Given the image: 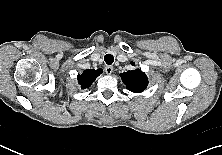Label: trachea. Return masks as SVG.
<instances>
[{"label":"trachea","mask_w":222,"mask_h":155,"mask_svg":"<svg viewBox=\"0 0 222 155\" xmlns=\"http://www.w3.org/2000/svg\"><path fill=\"white\" fill-rule=\"evenodd\" d=\"M104 61L106 64L111 65L114 62V57L111 54H106L104 56Z\"/></svg>","instance_id":"3493384b"}]
</instances>
